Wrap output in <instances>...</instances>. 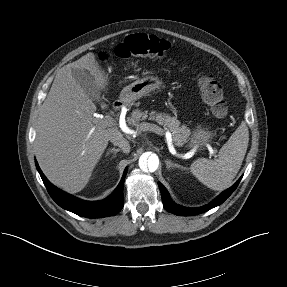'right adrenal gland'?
<instances>
[{
	"label": "right adrenal gland",
	"mask_w": 287,
	"mask_h": 287,
	"mask_svg": "<svg viewBox=\"0 0 287 287\" xmlns=\"http://www.w3.org/2000/svg\"><path fill=\"white\" fill-rule=\"evenodd\" d=\"M120 151V149H116V148H112V149H109L106 153V157L109 156L111 153H113V158H116L117 157V153Z\"/></svg>",
	"instance_id": "2a0ac1e0"
}]
</instances>
